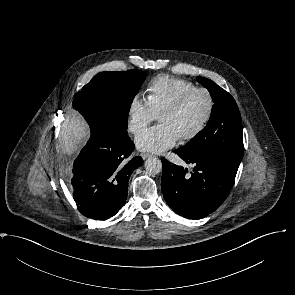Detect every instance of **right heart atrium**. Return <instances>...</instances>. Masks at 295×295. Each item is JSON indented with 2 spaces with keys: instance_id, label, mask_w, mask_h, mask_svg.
I'll return each instance as SVG.
<instances>
[{
  "instance_id": "1",
  "label": "right heart atrium",
  "mask_w": 295,
  "mask_h": 295,
  "mask_svg": "<svg viewBox=\"0 0 295 295\" xmlns=\"http://www.w3.org/2000/svg\"><path fill=\"white\" fill-rule=\"evenodd\" d=\"M128 129L133 134L141 133L157 115L147 98L142 95H134L128 104Z\"/></svg>"
}]
</instances>
